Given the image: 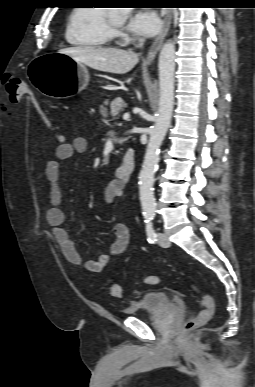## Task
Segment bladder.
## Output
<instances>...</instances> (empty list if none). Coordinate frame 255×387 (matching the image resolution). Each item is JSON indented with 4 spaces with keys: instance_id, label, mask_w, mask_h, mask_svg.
Returning <instances> with one entry per match:
<instances>
[{
    "instance_id": "bladder-1",
    "label": "bladder",
    "mask_w": 255,
    "mask_h": 387,
    "mask_svg": "<svg viewBox=\"0 0 255 387\" xmlns=\"http://www.w3.org/2000/svg\"><path fill=\"white\" fill-rule=\"evenodd\" d=\"M172 307L173 301L167 293L152 291L132 302L123 310V314L127 316H138L141 313L157 314Z\"/></svg>"
}]
</instances>
